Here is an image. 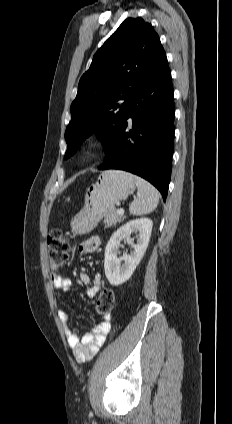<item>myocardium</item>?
Wrapping results in <instances>:
<instances>
[{
    "instance_id": "myocardium-1",
    "label": "myocardium",
    "mask_w": 232,
    "mask_h": 424,
    "mask_svg": "<svg viewBox=\"0 0 232 424\" xmlns=\"http://www.w3.org/2000/svg\"><path fill=\"white\" fill-rule=\"evenodd\" d=\"M103 140L98 136L89 137L82 146V152L85 157L95 156L102 148Z\"/></svg>"
}]
</instances>
